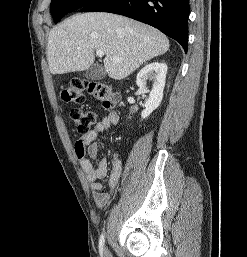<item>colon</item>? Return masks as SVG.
Masks as SVG:
<instances>
[{
	"mask_svg": "<svg viewBox=\"0 0 247 257\" xmlns=\"http://www.w3.org/2000/svg\"><path fill=\"white\" fill-rule=\"evenodd\" d=\"M85 92H88L106 110H113L118 102V94L114 89L100 81L72 80L62 90L61 97L65 103L82 104ZM70 117L80 133L89 132L97 120L95 112L77 107L70 109Z\"/></svg>",
	"mask_w": 247,
	"mask_h": 257,
	"instance_id": "colon-1",
	"label": "colon"
}]
</instances>
